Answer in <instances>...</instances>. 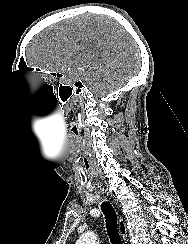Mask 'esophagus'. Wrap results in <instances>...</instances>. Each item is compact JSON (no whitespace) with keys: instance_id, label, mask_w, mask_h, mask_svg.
<instances>
[{"instance_id":"esophagus-1","label":"esophagus","mask_w":188,"mask_h":244,"mask_svg":"<svg viewBox=\"0 0 188 244\" xmlns=\"http://www.w3.org/2000/svg\"><path fill=\"white\" fill-rule=\"evenodd\" d=\"M118 229H119L120 235L126 241L127 229H126L125 221L123 220L122 217L119 218V221H118Z\"/></svg>"}]
</instances>
